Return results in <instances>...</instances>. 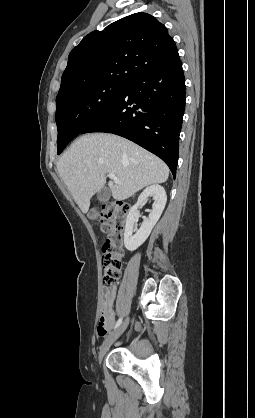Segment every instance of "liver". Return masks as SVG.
Returning <instances> with one entry per match:
<instances>
[{"label": "liver", "instance_id": "obj_1", "mask_svg": "<svg viewBox=\"0 0 255 418\" xmlns=\"http://www.w3.org/2000/svg\"><path fill=\"white\" fill-rule=\"evenodd\" d=\"M57 169L83 213L88 212L91 197L104 187L107 173H114L120 181L109 182L115 200H125L144 187L164 183L169 176L160 158L107 133L80 136L59 159Z\"/></svg>", "mask_w": 255, "mask_h": 418}]
</instances>
